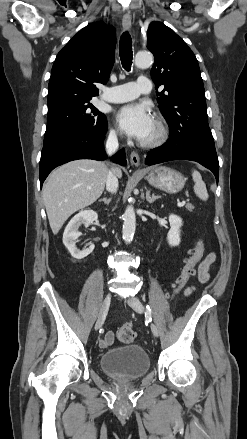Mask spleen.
Here are the masks:
<instances>
[{
  "label": "spleen",
  "instance_id": "obj_1",
  "mask_svg": "<svg viewBox=\"0 0 247 439\" xmlns=\"http://www.w3.org/2000/svg\"><path fill=\"white\" fill-rule=\"evenodd\" d=\"M192 178L194 181V192L203 201L208 200V192L206 185L202 180L201 174L197 170L192 171Z\"/></svg>",
  "mask_w": 247,
  "mask_h": 439
}]
</instances>
